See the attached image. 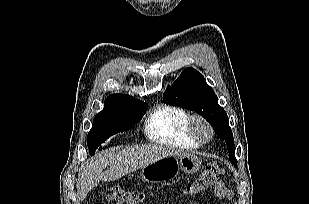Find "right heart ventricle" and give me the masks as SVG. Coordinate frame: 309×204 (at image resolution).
Returning a JSON list of instances; mask_svg holds the SVG:
<instances>
[{
    "mask_svg": "<svg viewBox=\"0 0 309 204\" xmlns=\"http://www.w3.org/2000/svg\"><path fill=\"white\" fill-rule=\"evenodd\" d=\"M190 114L175 105H160L145 123L147 137L158 144L195 149L200 146L189 134L187 125Z\"/></svg>",
    "mask_w": 309,
    "mask_h": 204,
    "instance_id": "right-heart-ventricle-1",
    "label": "right heart ventricle"
}]
</instances>
